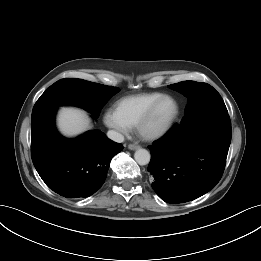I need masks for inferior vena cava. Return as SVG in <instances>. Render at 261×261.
<instances>
[{
	"instance_id": "inferior-vena-cava-1",
	"label": "inferior vena cava",
	"mask_w": 261,
	"mask_h": 261,
	"mask_svg": "<svg viewBox=\"0 0 261 261\" xmlns=\"http://www.w3.org/2000/svg\"><path fill=\"white\" fill-rule=\"evenodd\" d=\"M107 136L109 139H111L115 142H118V143H122L124 141V136L121 133L116 132L114 130H109L107 132Z\"/></svg>"
}]
</instances>
